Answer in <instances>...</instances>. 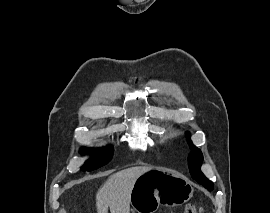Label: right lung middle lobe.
I'll return each mask as SVG.
<instances>
[{
  "label": "right lung middle lobe",
  "instance_id": "right-lung-middle-lobe-1",
  "mask_svg": "<svg viewBox=\"0 0 270 213\" xmlns=\"http://www.w3.org/2000/svg\"><path fill=\"white\" fill-rule=\"evenodd\" d=\"M92 150H88L86 148L81 149L82 154H86L87 152H91ZM96 155L93 156L90 160L86 161L84 166L81 168L83 171H92L100 166L108 163L112 157V149L104 148L100 150H96Z\"/></svg>",
  "mask_w": 270,
  "mask_h": 213
}]
</instances>
